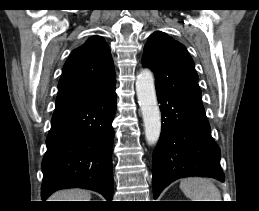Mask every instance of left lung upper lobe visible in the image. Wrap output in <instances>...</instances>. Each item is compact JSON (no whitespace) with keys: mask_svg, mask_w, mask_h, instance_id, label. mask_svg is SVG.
<instances>
[{"mask_svg":"<svg viewBox=\"0 0 259 211\" xmlns=\"http://www.w3.org/2000/svg\"><path fill=\"white\" fill-rule=\"evenodd\" d=\"M155 74L156 89L201 99L198 75L185 46L163 32L149 36L142 58Z\"/></svg>","mask_w":259,"mask_h":211,"instance_id":"5c2ea615","label":"left lung upper lobe"}]
</instances>
